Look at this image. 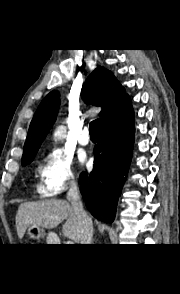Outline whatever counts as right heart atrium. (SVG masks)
<instances>
[{"label": "right heart atrium", "mask_w": 180, "mask_h": 294, "mask_svg": "<svg viewBox=\"0 0 180 294\" xmlns=\"http://www.w3.org/2000/svg\"><path fill=\"white\" fill-rule=\"evenodd\" d=\"M38 174L39 190L45 197H56L77 185L72 158L62 149L54 148L44 155Z\"/></svg>", "instance_id": "d8ad5b80"}]
</instances>
